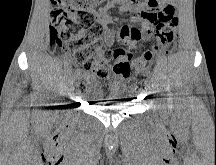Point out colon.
I'll use <instances>...</instances> for the list:
<instances>
[{"label":"colon","instance_id":"1","mask_svg":"<svg viewBox=\"0 0 216 165\" xmlns=\"http://www.w3.org/2000/svg\"><path fill=\"white\" fill-rule=\"evenodd\" d=\"M108 0H52L55 8L50 17V37L52 43L61 49L70 50L76 64L99 79H106L111 71L118 74L131 69L146 70L152 52L146 51L132 59L124 48L115 50L105 48L103 27L97 21L95 10ZM152 30L158 45L155 50L169 54L173 51L177 36L175 30L179 19L174 10H160L150 15ZM148 34V35H149ZM142 33L133 26L124 25L118 33L121 45H129L141 38ZM113 61V64L111 62Z\"/></svg>","mask_w":216,"mask_h":165}]
</instances>
